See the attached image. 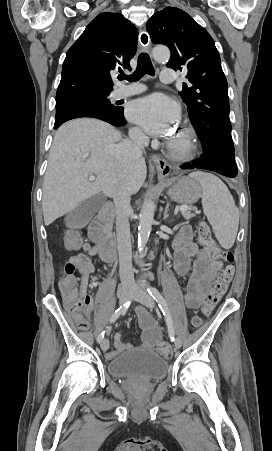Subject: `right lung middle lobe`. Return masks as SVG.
Returning a JSON list of instances; mask_svg holds the SVG:
<instances>
[{"mask_svg": "<svg viewBox=\"0 0 272 451\" xmlns=\"http://www.w3.org/2000/svg\"><path fill=\"white\" fill-rule=\"evenodd\" d=\"M56 108V119L80 110L93 111L107 116H117L122 112L121 107H116L111 104L109 94L56 99Z\"/></svg>", "mask_w": 272, "mask_h": 451, "instance_id": "1", "label": "right lung middle lobe"}]
</instances>
